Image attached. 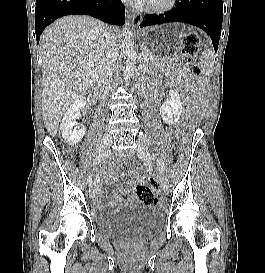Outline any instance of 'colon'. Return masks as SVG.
<instances>
[{
	"label": "colon",
	"mask_w": 265,
	"mask_h": 273,
	"mask_svg": "<svg viewBox=\"0 0 265 273\" xmlns=\"http://www.w3.org/2000/svg\"><path fill=\"white\" fill-rule=\"evenodd\" d=\"M200 39L197 34L190 33L184 37L182 46V57L186 65L190 67V70L197 75L201 74V68L193 63L194 57L197 56L199 52ZM131 175L134 177L138 176L137 171L131 170ZM136 194L139 200L145 204L152 205L158 200L157 191L151 184L140 183L136 187Z\"/></svg>",
	"instance_id": "1"
}]
</instances>
